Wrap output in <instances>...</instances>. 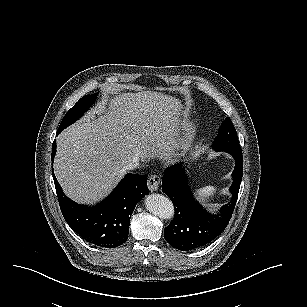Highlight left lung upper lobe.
Here are the masks:
<instances>
[{
    "instance_id": "5c2ea615",
    "label": "left lung upper lobe",
    "mask_w": 307,
    "mask_h": 307,
    "mask_svg": "<svg viewBox=\"0 0 307 307\" xmlns=\"http://www.w3.org/2000/svg\"><path fill=\"white\" fill-rule=\"evenodd\" d=\"M212 147L217 151H226L230 154L242 153L237 132L229 117L221 124Z\"/></svg>"
}]
</instances>
